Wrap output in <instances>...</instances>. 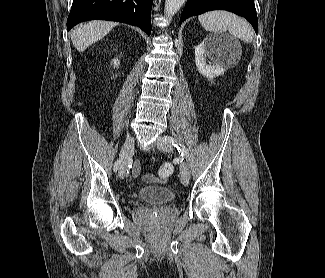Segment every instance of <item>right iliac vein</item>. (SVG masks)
Masks as SVG:
<instances>
[{
  "mask_svg": "<svg viewBox=\"0 0 325 278\" xmlns=\"http://www.w3.org/2000/svg\"><path fill=\"white\" fill-rule=\"evenodd\" d=\"M134 143H135L134 138H129L122 146L120 152L121 163L119 165V170H118L119 177L122 179L125 178L127 175L128 161L130 156L133 153Z\"/></svg>",
  "mask_w": 325,
  "mask_h": 278,
  "instance_id": "obj_1",
  "label": "right iliac vein"
}]
</instances>
